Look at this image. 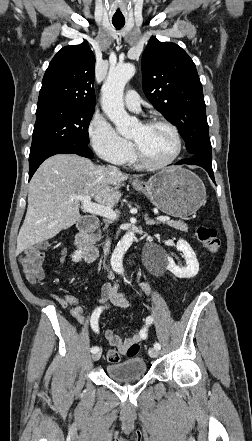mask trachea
<instances>
[{
    "label": "trachea",
    "mask_w": 252,
    "mask_h": 441,
    "mask_svg": "<svg viewBox=\"0 0 252 441\" xmlns=\"http://www.w3.org/2000/svg\"><path fill=\"white\" fill-rule=\"evenodd\" d=\"M112 23L116 29H121L125 25L124 20H112Z\"/></svg>",
    "instance_id": "3493384b"
}]
</instances>
